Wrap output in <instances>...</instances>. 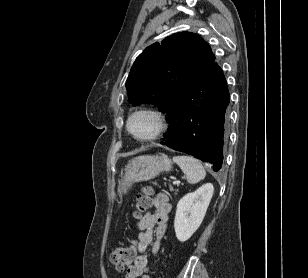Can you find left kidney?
I'll use <instances>...</instances> for the list:
<instances>
[{"label": "left kidney", "mask_w": 308, "mask_h": 278, "mask_svg": "<svg viewBox=\"0 0 308 278\" xmlns=\"http://www.w3.org/2000/svg\"><path fill=\"white\" fill-rule=\"evenodd\" d=\"M214 187L207 183L198 188L195 192L188 193L177 204L174 220L176 237L180 242H185L200 227L211 198Z\"/></svg>", "instance_id": "1"}]
</instances>
